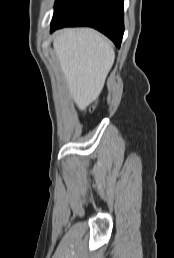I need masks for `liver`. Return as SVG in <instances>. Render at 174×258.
<instances>
[{"label": "liver", "instance_id": "1", "mask_svg": "<svg viewBox=\"0 0 174 258\" xmlns=\"http://www.w3.org/2000/svg\"><path fill=\"white\" fill-rule=\"evenodd\" d=\"M54 51L70 95L79 108L100 95L114 63L110 42L91 28L60 30L53 40Z\"/></svg>", "mask_w": 174, "mask_h": 258}]
</instances>
